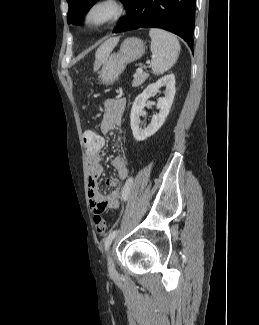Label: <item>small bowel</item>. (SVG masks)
<instances>
[{"instance_id": "1", "label": "small bowel", "mask_w": 259, "mask_h": 325, "mask_svg": "<svg viewBox=\"0 0 259 325\" xmlns=\"http://www.w3.org/2000/svg\"><path fill=\"white\" fill-rule=\"evenodd\" d=\"M126 107V100L124 98H111L103 103V113L100 129L103 135L119 129L121 120ZM99 138L103 139V147L105 145V138L103 135L97 134ZM103 149V148H102ZM102 149H87L86 156L88 161V196L89 204L92 211L100 213L107 208H117L122 197L124 187H121V182L129 179L130 170L127 160L123 156H116L112 160V166L116 171L117 179L108 178L106 185L114 188L110 193L103 194L99 190L98 179L103 173L102 166Z\"/></svg>"}]
</instances>
